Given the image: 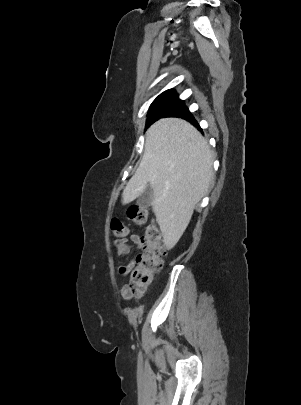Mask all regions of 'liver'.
Segmentation results:
<instances>
[{
  "label": "liver",
  "mask_w": 301,
  "mask_h": 405,
  "mask_svg": "<svg viewBox=\"0 0 301 405\" xmlns=\"http://www.w3.org/2000/svg\"><path fill=\"white\" fill-rule=\"evenodd\" d=\"M212 164L213 151L194 126L179 118L160 119L146 132L143 158L123 191L122 203L132 202L151 186L152 209L171 249L208 192Z\"/></svg>",
  "instance_id": "obj_1"
}]
</instances>
